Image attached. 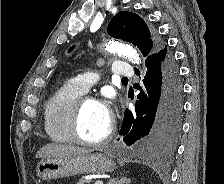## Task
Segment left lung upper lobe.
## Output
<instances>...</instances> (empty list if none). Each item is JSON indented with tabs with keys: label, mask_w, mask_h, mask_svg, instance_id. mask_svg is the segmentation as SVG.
Segmentation results:
<instances>
[{
	"label": "left lung upper lobe",
	"mask_w": 224,
	"mask_h": 184,
	"mask_svg": "<svg viewBox=\"0 0 224 184\" xmlns=\"http://www.w3.org/2000/svg\"><path fill=\"white\" fill-rule=\"evenodd\" d=\"M109 34L137 46L146 60L164 48L158 40L151 39V33L142 18L127 11L118 12L110 21ZM146 63V61H145Z\"/></svg>",
	"instance_id": "left-lung-upper-lobe-1"
}]
</instances>
